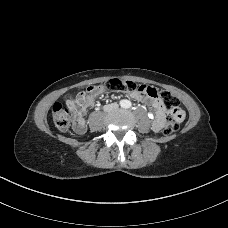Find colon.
<instances>
[{
    "label": "colon",
    "mask_w": 228,
    "mask_h": 228,
    "mask_svg": "<svg viewBox=\"0 0 228 228\" xmlns=\"http://www.w3.org/2000/svg\"><path fill=\"white\" fill-rule=\"evenodd\" d=\"M98 87L106 88L108 90H122L126 92L137 90L146 94L148 97L160 98L163 107L170 112V116L167 118L163 128L164 134L171 135L177 131L180 118L182 117V110L178 106L177 98L168 91L158 90L154 87L143 84L138 85L132 81L123 79H111L104 85H99ZM52 117L55 126L59 130H66L71 121L70 108L64 105L61 101H57L52 107Z\"/></svg>",
    "instance_id": "1"
}]
</instances>
